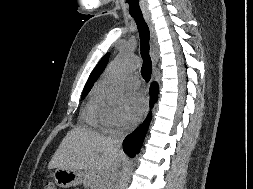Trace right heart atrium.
Returning a JSON list of instances; mask_svg holds the SVG:
<instances>
[{
    "label": "right heart atrium",
    "mask_w": 253,
    "mask_h": 189,
    "mask_svg": "<svg viewBox=\"0 0 253 189\" xmlns=\"http://www.w3.org/2000/svg\"><path fill=\"white\" fill-rule=\"evenodd\" d=\"M100 124L108 131L122 130L124 127L122 110L102 98L99 100Z\"/></svg>",
    "instance_id": "right-heart-atrium-1"
}]
</instances>
